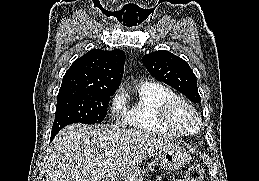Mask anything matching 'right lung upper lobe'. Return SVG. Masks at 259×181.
<instances>
[{"label": "right lung upper lobe", "mask_w": 259, "mask_h": 181, "mask_svg": "<svg viewBox=\"0 0 259 181\" xmlns=\"http://www.w3.org/2000/svg\"><path fill=\"white\" fill-rule=\"evenodd\" d=\"M125 54L116 49H92L75 60L65 73L60 90H91L115 93L124 71Z\"/></svg>", "instance_id": "obj_1"}]
</instances>
